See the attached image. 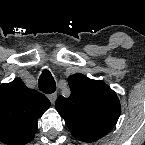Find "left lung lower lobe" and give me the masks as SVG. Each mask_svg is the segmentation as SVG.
<instances>
[{
  "label": "left lung lower lobe",
  "instance_id": "0a47b994",
  "mask_svg": "<svg viewBox=\"0 0 145 145\" xmlns=\"http://www.w3.org/2000/svg\"><path fill=\"white\" fill-rule=\"evenodd\" d=\"M109 131L105 130H95V131H85V130H75L72 134L79 140L84 142H94L101 137L105 136Z\"/></svg>",
  "mask_w": 145,
  "mask_h": 145
}]
</instances>
